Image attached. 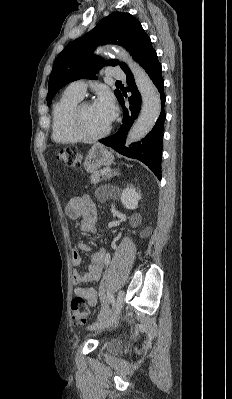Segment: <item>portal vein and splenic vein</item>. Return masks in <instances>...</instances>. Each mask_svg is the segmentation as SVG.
I'll return each mask as SVG.
<instances>
[{
	"mask_svg": "<svg viewBox=\"0 0 232 399\" xmlns=\"http://www.w3.org/2000/svg\"><path fill=\"white\" fill-rule=\"evenodd\" d=\"M107 172H110V168H106V170H100V174H107Z\"/></svg>",
	"mask_w": 232,
	"mask_h": 399,
	"instance_id": "18ae733b",
	"label": "portal vein and splenic vein"
}]
</instances>
